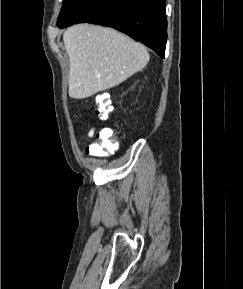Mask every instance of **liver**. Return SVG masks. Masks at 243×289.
I'll return each mask as SVG.
<instances>
[{"label":"liver","mask_w":243,"mask_h":289,"mask_svg":"<svg viewBox=\"0 0 243 289\" xmlns=\"http://www.w3.org/2000/svg\"><path fill=\"white\" fill-rule=\"evenodd\" d=\"M69 56V96L88 98L119 85L148 63L141 43L118 31L90 24L69 27L63 34Z\"/></svg>","instance_id":"liver-1"}]
</instances>
